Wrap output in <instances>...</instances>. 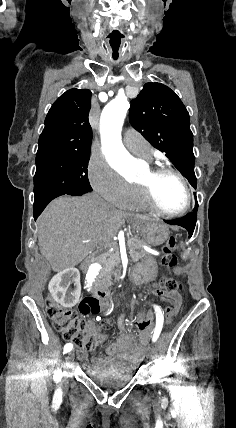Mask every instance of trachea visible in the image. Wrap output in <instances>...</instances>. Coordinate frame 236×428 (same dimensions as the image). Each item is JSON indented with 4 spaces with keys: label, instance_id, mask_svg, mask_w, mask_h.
Returning a JSON list of instances; mask_svg holds the SVG:
<instances>
[{
    "label": "trachea",
    "instance_id": "1",
    "mask_svg": "<svg viewBox=\"0 0 236 428\" xmlns=\"http://www.w3.org/2000/svg\"><path fill=\"white\" fill-rule=\"evenodd\" d=\"M111 33L107 35V40L110 44V59L112 63H117L121 59V49L124 40V35L117 28H112Z\"/></svg>",
    "mask_w": 236,
    "mask_h": 428
}]
</instances>
